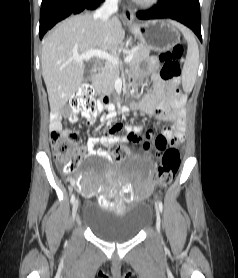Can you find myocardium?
<instances>
[{
	"mask_svg": "<svg viewBox=\"0 0 238 278\" xmlns=\"http://www.w3.org/2000/svg\"><path fill=\"white\" fill-rule=\"evenodd\" d=\"M136 4L144 8H150L158 3L159 0H133Z\"/></svg>",
	"mask_w": 238,
	"mask_h": 278,
	"instance_id": "1",
	"label": "myocardium"
}]
</instances>
